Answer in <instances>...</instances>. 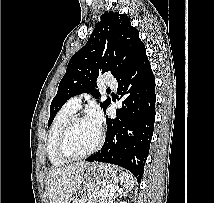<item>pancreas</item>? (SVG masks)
Segmentation results:
<instances>
[{"instance_id": "obj_1", "label": "pancreas", "mask_w": 214, "mask_h": 203, "mask_svg": "<svg viewBox=\"0 0 214 203\" xmlns=\"http://www.w3.org/2000/svg\"><path fill=\"white\" fill-rule=\"evenodd\" d=\"M98 196V192L89 193L87 197L76 199L73 203H93ZM112 191L109 189L104 190L102 196L99 197L98 203H111ZM96 203V202H95Z\"/></svg>"}]
</instances>
